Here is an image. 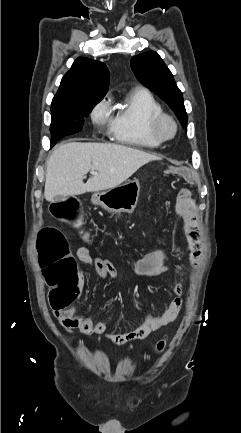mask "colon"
Wrapping results in <instances>:
<instances>
[{
  "instance_id": "obj_1",
  "label": "colon",
  "mask_w": 241,
  "mask_h": 433,
  "mask_svg": "<svg viewBox=\"0 0 241 433\" xmlns=\"http://www.w3.org/2000/svg\"><path fill=\"white\" fill-rule=\"evenodd\" d=\"M162 177H185L188 184L196 181L193 177L192 168H162ZM71 198H60L52 200L51 206H47V215H52L53 221H64L71 229H82V220H73V214H85V205H81L80 200ZM70 199V200H69ZM78 238H82L84 233L78 231ZM37 255L41 263L40 270L45 272L46 282L50 288L49 300L53 305L54 312H67L69 304L78 296L81 289L79 271L68 244L63 234L55 228H44L40 231L37 241ZM165 346L164 341H160L157 350L162 351Z\"/></svg>"
}]
</instances>
